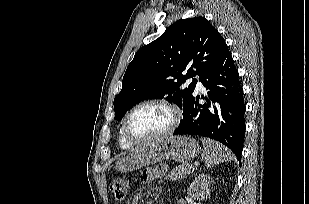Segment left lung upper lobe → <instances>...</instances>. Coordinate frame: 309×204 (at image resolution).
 <instances>
[{
  "mask_svg": "<svg viewBox=\"0 0 309 204\" xmlns=\"http://www.w3.org/2000/svg\"><path fill=\"white\" fill-rule=\"evenodd\" d=\"M227 47L204 17L177 20L155 41L142 47L127 67L121 92L114 99L115 119L146 99L166 98L185 109L193 97L196 79Z\"/></svg>",
  "mask_w": 309,
  "mask_h": 204,
  "instance_id": "1",
  "label": "left lung upper lobe"
}]
</instances>
